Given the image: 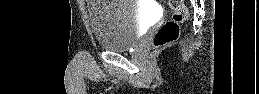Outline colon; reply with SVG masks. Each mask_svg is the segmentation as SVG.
Here are the masks:
<instances>
[{"label": "colon", "instance_id": "5ec220e1", "mask_svg": "<svg viewBox=\"0 0 259 94\" xmlns=\"http://www.w3.org/2000/svg\"><path fill=\"white\" fill-rule=\"evenodd\" d=\"M168 4L172 10V16L156 32L154 37L156 47H164L177 40L180 34V23L187 18V9L183 0H169Z\"/></svg>", "mask_w": 259, "mask_h": 94}]
</instances>
